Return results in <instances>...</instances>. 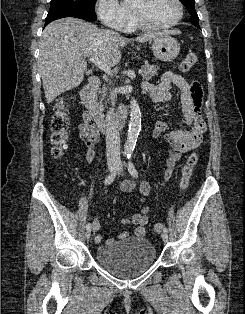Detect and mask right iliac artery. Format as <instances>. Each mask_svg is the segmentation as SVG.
Wrapping results in <instances>:
<instances>
[{
    "label": "right iliac artery",
    "mask_w": 245,
    "mask_h": 314,
    "mask_svg": "<svg viewBox=\"0 0 245 314\" xmlns=\"http://www.w3.org/2000/svg\"><path fill=\"white\" fill-rule=\"evenodd\" d=\"M115 176H116V173H115V172L109 174V175L106 177L105 181H104L105 185L111 184V183L114 181ZM90 228H91L90 223H87V224H86V229L89 230Z\"/></svg>",
    "instance_id": "1"
}]
</instances>
